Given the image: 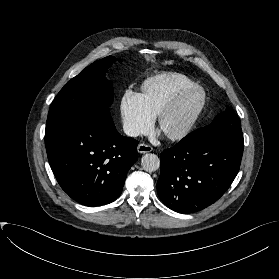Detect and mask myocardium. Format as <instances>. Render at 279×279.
<instances>
[{
  "mask_svg": "<svg viewBox=\"0 0 279 279\" xmlns=\"http://www.w3.org/2000/svg\"><path fill=\"white\" fill-rule=\"evenodd\" d=\"M197 92L200 93L201 95L200 101L197 107L195 108L193 114L186 122V124L177 131H163L162 127L166 119L170 117L189 96ZM206 102H207V95L205 90L201 86L197 85L182 91L158 114L157 117L158 128L162 130L164 135L170 140L178 141L184 139L192 132V130L196 126L206 106Z\"/></svg>",
  "mask_w": 279,
  "mask_h": 279,
  "instance_id": "obj_1",
  "label": "myocardium"
}]
</instances>
